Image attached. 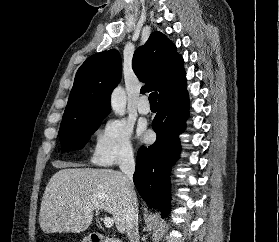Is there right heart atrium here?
<instances>
[{"label": "right heart atrium", "mask_w": 279, "mask_h": 242, "mask_svg": "<svg viewBox=\"0 0 279 242\" xmlns=\"http://www.w3.org/2000/svg\"><path fill=\"white\" fill-rule=\"evenodd\" d=\"M133 156L131 127L119 119L108 120L96 135L91 152L92 163L115 166L132 160Z\"/></svg>", "instance_id": "1"}]
</instances>
